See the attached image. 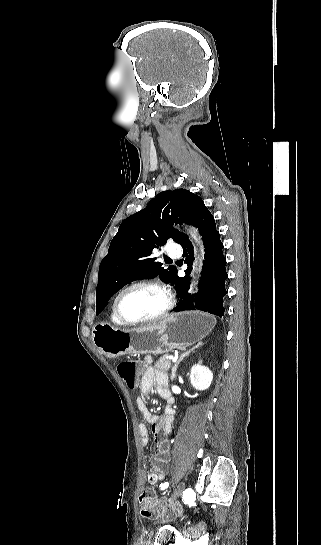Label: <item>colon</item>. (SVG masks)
<instances>
[{"mask_svg":"<svg viewBox=\"0 0 321 545\" xmlns=\"http://www.w3.org/2000/svg\"><path fill=\"white\" fill-rule=\"evenodd\" d=\"M117 371L127 387L133 389L137 385V363L132 360H123L118 364ZM141 513L147 518L163 517L170 520L175 516V510L165 506L154 489L146 488L139 497Z\"/></svg>","mask_w":321,"mask_h":545,"instance_id":"1","label":"colon"}]
</instances>
